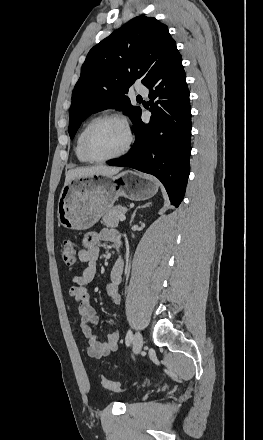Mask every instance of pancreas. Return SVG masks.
<instances>
[{"instance_id":"obj_1","label":"pancreas","mask_w":263,"mask_h":440,"mask_svg":"<svg viewBox=\"0 0 263 440\" xmlns=\"http://www.w3.org/2000/svg\"><path fill=\"white\" fill-rule=\"evenodd\" d=\"M126 211V207L122 205H117L104 214L101 223L103 225H106L107 227H117L119 225V222L121 221L119 219V216L121 214H125Z\"/></svg>"}]
</instances>
